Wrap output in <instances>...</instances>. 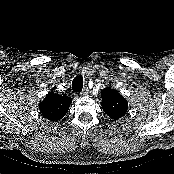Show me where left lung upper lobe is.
Instances as JSON below:
<instances>
[{"instance_id": "obj_1", "label": "left lung upper lobe", "mask_w": 174, "mask_h": 174, "mask_svg": "<svg viewBox=\"0 0 174 174\" xmlns=\"http://www.w3.org/2000/svg\"><path fill=\"white\" fill-rule=\"evenodd\" d=\"M102 108L113 120L124 116L128 109L127 100L116 90L107 87L101 90Z\"/></svg>"}]
</instances>
